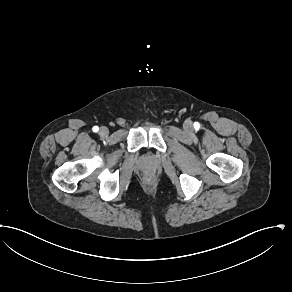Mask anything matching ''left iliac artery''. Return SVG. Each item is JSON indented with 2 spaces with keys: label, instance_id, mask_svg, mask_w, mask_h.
Returning a JSON list of instances; mask_svg holds the SVG:
<instances>
[{
  "label": "left iliac artery",
  "instance_id": "left-iliac-artery-1",
  "mask_svg": "<svg viewBox=\"0 0 292 292\" xmlns=\"http://www.w3.org/2000/svg\"><path fill=\"white\" fill-rule=\"evenodd\" d=\"M194 127L195 128H199V124L198 123H194Z\"/></svg>",
  "mask_w": 292,
  "mask_h": 292
}]
</instances>
